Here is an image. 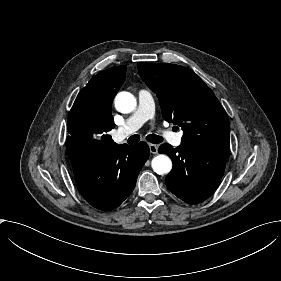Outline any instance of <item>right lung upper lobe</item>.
Listing matches in <instances>:
<instances>
[{
	"label": "right lung upper lobe",
	"instance_id": "obj_1",
	"mask_svg": "<svg viewBox=\"0 0 281 281\" xmlns=\"http://www.w3.org/2000/svg\"><path fill=\"white\" fill-rule=\"evenodd\" d=\"M125 73V65L101 71L80 91L68 115V147L77 142L114 143L107 134L115 126L111 106Z\"/></svg>",
	"mask_w": 281,
	"mask_h": 281
}]
</instances>
